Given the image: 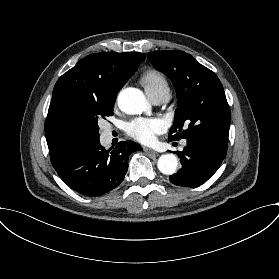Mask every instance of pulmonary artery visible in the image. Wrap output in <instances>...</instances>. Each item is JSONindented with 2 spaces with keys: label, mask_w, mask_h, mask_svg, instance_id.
Returning a JSON list of instances; mask_svg holds the SVG:
<instances>
[{
  "label": "pulmonary artery",
  "mask_w": 279,
  "mask_h": 279,
  "mask_svg": "<svg viewBox=\"0 0 279 279\" xmlns=\"http://www.w3.org/2000/svg\"><path fill=\"white\" fill-rule=\"evenodd\" d=\"M146 93L155 104L163 103L170 98V89L168 86H163L156 90H146Z\"/></svg>",
  "instance_id": "obj_1"
}]
</instances>
